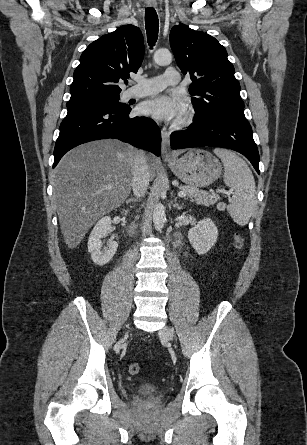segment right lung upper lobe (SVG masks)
Segmentation results:
<instances>
[{
	"label": "right lung upper lobe",
	"instance_id": "obj_1",
	"mask_svg": "<svg viewBox=\"0 0 307 445\" xmlns=\"http://www.w3.org/2000/svg\"><path fill=\"white\" fill-rule=\"evenodd\" d=\"M144 57L139 28L124 25L91 43L80 57L70 87L71 98L119 95L120 80L136 73Z\"/></svg>",
	"mask_w": 307,
	"mask_h": 445
}]
</instances>
